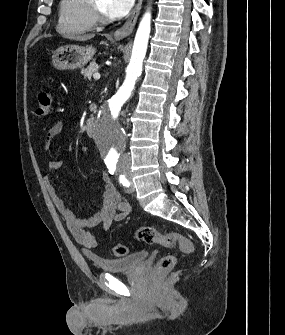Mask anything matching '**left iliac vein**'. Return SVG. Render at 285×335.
<instances>
[{"label":"left iliac vein","instance_id":"1","mask_svg":"<svg viewBox=\"0 0 285 335\" xmlns=\"http://www.w3.org/2000/svg\"><path fill=\"white\" fill-rule=\"evenodd\" d=\"M129 181H130V186L128 188H126V191L129 192V193H132V192H134L135 188H134V184H133L131 178H129Z\"/></svg>","mask_w":285,"mask_h":335}]
</instances>
